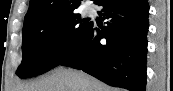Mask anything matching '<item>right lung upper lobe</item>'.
<instances>
[{"label":"right lung upper lobe","instance_id":"cb5924a9","mask_svg":"<svg viewBox=\"0 0 173 91\" xmlns=\"http://www.w3.org/2000/svg\"><path fill=\"white\" fill-rule=\"evenodd\" d=\"M79 6L80 0H30L24 27L63 18L75 13Z\"/></svg>","mask_w":173,"mask_h":91}]
</instances>
